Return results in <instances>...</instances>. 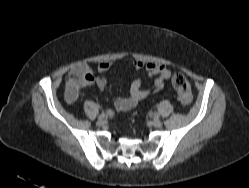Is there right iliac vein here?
Masks as SVG:
<instances>
[{"label": "right iliac vein", "mask_w": 249, "mask_h": 188, "mask_svg": "<svg viewBox=\"0 0 249 188\" xmlns=\"http://www.w3.org/2000/svg\"><path fill=\"white\" fill-rule=\"evenodd\" d=\"M106 124V121L104 119H98L97 125L98 126H104Z\"/></svg>", "instance_id": "right-iliac-vein-1"}]
</instances>
